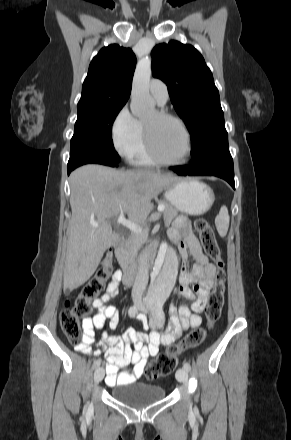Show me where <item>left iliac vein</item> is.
I'll use <instances>...</instances> for the list:
<instances>
[{"label":"left iliac vein","instance_id":"4c4485c4","mask_svg":"<svg viewBox=\"0 0 291 440\" xmlns=\"http://www.w3.org/2000/svg\"><path fill=\"white\" fill-rule=\"evenodd\" d=\"M141 310H142L143 312H147V310H146L145 308H141ZM176 379H177L179 382L186 383V382H187V379H188V371H187L185 368H179V369L176 371Z\"/></svg>","mask_w":291,"mask_h":440}]
</instances>
